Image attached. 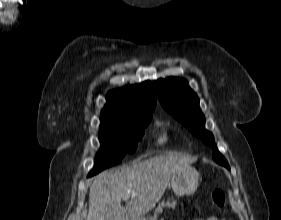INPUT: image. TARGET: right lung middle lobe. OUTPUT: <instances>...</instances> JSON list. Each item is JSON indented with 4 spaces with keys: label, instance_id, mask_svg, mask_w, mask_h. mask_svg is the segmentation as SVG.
I'll use <instances>...</instances> for the list:
<instances>
[{
    "label": "right lung middle lobe",
    "instance_id": "obj_1",
    "mask_svg": "<svg viewBox=\"0 0 281 220\" xmlns=\"http://www.w3.org/2000/svg\"><path fill=\"white\" fill-rule=\"evenodd\" d=\"M151 119L152 115H149L114 125H101L99 134L101 148L88 176L120 163L126 153H133Z\"/></svg>",
    "mask_w": 281,
    "mask_h": 220
}]
</instances>
